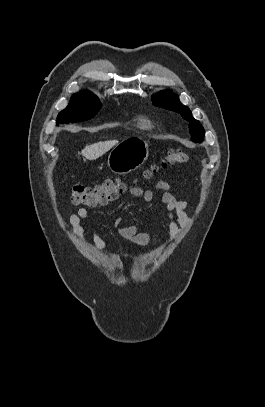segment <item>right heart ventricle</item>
<instances>
[{"instance_id":"1","label":"right heart ventricle","mask_w":265,"mask_h":407,"mask_svg":"<svg viewBox=\"0 0 265 407\" xmlns=\"http://www.w3.org/2000/svg\"><path fill=\"white\" fill-rule=\"evenodd\" d=\"M140 127H141L142 129H150V128H151V123H150L148 120L143 119V120L141 121V123H140Z\"/></svg>"}]
</instances>
